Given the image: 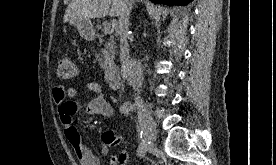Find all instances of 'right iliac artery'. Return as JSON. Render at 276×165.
<instances>
[{
  "label": "right iliac artery",
  "instance_id": "right-iliac-artery-1",
  "mask_svg": "<svg viewBox=\"0 0 276 165\" xmlns=\"http://www.w3.org/2000/svg\"><path fill=\"white\" fill-rule=\"evenodd\" d=\"M133 110H134V106L130 103H125L120 108V111L123 114H129ZM138 123H139L138 132H139L141 143L139 145L137 154L139 157H143L146 152L147 131H146L145 121L140 114H138Z\"/></svg>",
  "mask_w": 276,
  "mask_h": 165
}]
</instances>
